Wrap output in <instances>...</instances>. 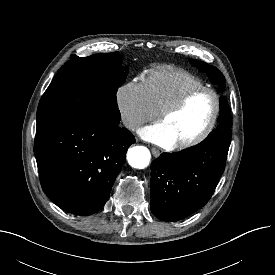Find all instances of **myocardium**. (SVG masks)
Returning a JSON list of instances; mask_svg holds the SVG:
<instances>
[{"mask_svg":"<svg viewBox=\"0 0 275 275\" xmlns=\"http://www.w3.org/2000/svg\"><path fill=\"white\" fill-rule=\"evenodd\" d=\"M200 92H208L212 95L213 100H214L213 112L210 116L208 123L203 128V130L191 139L175 143V147H177V148L186 149V148L196 146L199 143H201L202 141H204L209 136V134L212 132V130L214 129L215 124L217 122V119L219 117V113H220V96H219L218 92L215 89L210 88L208 86H200V87L192 88V89L188 90L187 92H185L183 95H181L176 101H174L173 103H171L170 105H168L167 107L162 109L158 114L159 120L162 121L167 116L174 114L177 111H179L181 108H183L184 105L193 96H195L196 94H198Z\"/></svg>","mask_w":275,"mask_h":275,"instance_id":"obj_1","label":"myocardium"}]
</instances>
